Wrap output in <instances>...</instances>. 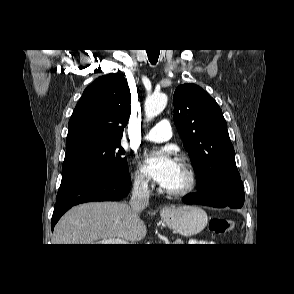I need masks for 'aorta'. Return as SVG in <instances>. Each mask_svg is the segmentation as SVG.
Returning <instances> with one entry per match:
<instances>
[{"mask_svg": "<svg viewBox=\"0 0 294 294\" xmlns=\"http://www.w3.org/2000/svg\"><path fill=\"white\" fill-rule=\"evenodd\" d=\"M167 105V96L164 93L154 94L145 101V116L151 120L159 115Z\"/></svg>", "mask_w": 294, "mask_h": 294, "instance_id": "762f6f07", "label": "aorta"}]
</instances>
